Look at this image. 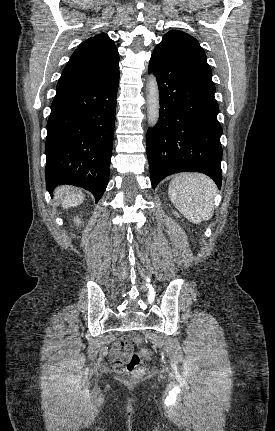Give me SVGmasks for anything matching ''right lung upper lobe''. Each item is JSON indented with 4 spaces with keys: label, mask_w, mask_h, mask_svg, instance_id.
<instances>
[{
    "label": "right lung upper lobe",
    "mask_w": 275,
    "mask_h": 431,
    "mask_svg": "<svg viewBox=\"0 0 275 431\" xmlns=\"http://www.w3.org/2000/svg\"><path fill=\"white\" fill-rule=\"evenodd\" d=\"M119 71V54L107 34H98L74 51L59 79L56 91L96 84Z\"/></svg>",
    "instance_id": "right-lung-upper-lobe-1"
}]
</instances>
